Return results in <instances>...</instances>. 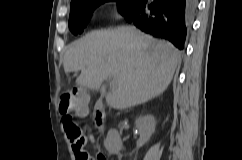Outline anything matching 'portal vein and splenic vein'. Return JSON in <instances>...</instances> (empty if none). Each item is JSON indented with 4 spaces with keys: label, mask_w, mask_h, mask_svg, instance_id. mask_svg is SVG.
Returning <instances> with one entry per match:
<instances>
[{
    "label": "portal vein and splenic vein",
    "mask_w": 242,
    "mask_h": 160,
    "mask_svg": "<svg viewBox=\"0 0 242 160\" xmlns=\"http://www.w3.org/2000/svg\"><path fill=\"white\" fill-rule=\"evenodd\" d=\"M109 81H110V85H111V86H114L115 81H114L112 78H109Z\"/></svg>",
    "instance_id": "obj_1"
}]
</instances>
